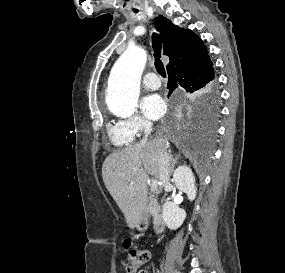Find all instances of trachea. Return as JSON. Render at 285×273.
<instances>
[{
  "label": "trachea",
  "instance_id": "1",
  "mask_svg": "<svg viewBox=\"0 0 285 273\" xmlns=\"http://www.w3.org/2000/svg\"><path fill=\"white\" fill-rule=\"evenodd\" d=\"M152 45H153V49H154L155 68H156L157 72L162 77H166V71H165L164 65L160 59L162 41H161V39L157 33L152 34Z\"/></svg>",
  "mask_w": 285,
  "mask_h": 273
}]
</instances>
